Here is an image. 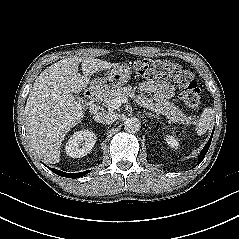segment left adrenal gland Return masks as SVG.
I'll list each match as a JSON object with an SVG mask.
<instances>
[{
    "instance_id": "a2214340",
    "label": "left adrenal gland",
    "mask_w": 239,
    "mask_h": 239,
    "mask_svg": "<svg viewBox=\"0 0 239 239\" xmlns=\"http://www.w3.org/2000/svg\"><path fill=\"white\" fill-rule=\"evenodd\" d=\"M145 114H146V116H147L148 118H156V119L159 120V117H158L157 115H155V114L148 113V112H146Z\"/></svg>"
}]
</instances>
